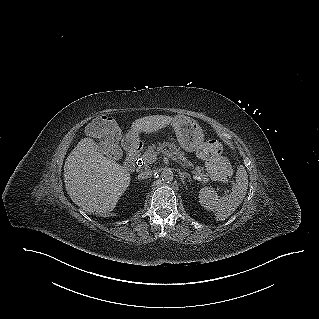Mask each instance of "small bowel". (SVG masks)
<instances>
[{"label": "small bowel", "instance_id": "small-bowel-1", "mask_svg": "<svg viewBox=\"0 0 319 319\" xmlns=\"http://www.w3.org/2000/svg\"><path fill=\"white\" fill-rule=\"evenodd\" d=\"M198 155H199V157H201V158L204 159V157H203L202 153L200 152V150H199V152H198Z\"/></svg>", "mask_w": 319, "mask_h": 319}]
</instances>
